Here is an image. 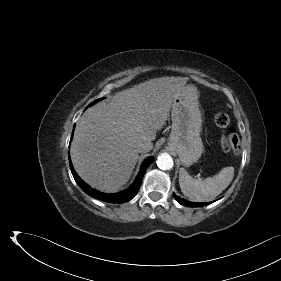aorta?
<instances>
[{
	"label": "aorta",
	"mask_w": 281,
	"mask_h": 281,
	"mask_svg": "<svg viewBox=\"0 0 281 281\" xmlns=\"http://www.w3.org/2000/svg\"><path fill=\"white\" fill-rule=\"evenodd\" d=\"M157 166L162 170H169L173 167V159L168 153H162L157 160Z\"/></svg>",
	"instance_id": "1"
}]
</instances>
